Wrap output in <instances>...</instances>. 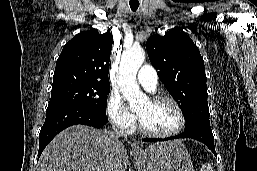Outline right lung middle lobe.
<instances>
[{
	"label": "right lung middle lobe",
	"instance_id": "right-lung-middle-lobe-1",
	"mask_svg": "<svg viewBox=\"0 0 257 171\" xmlns=\"http://www.w3.org/2000/svg\"><path fill=\"white\" fill-rule=\"evenodd\" d=\"M108 83H76L52 89L48 107L76 104L87 107L101 115H106Z\"/></svg>",
	"mask_w": 257,
	"mask_h": 171
}]
</instances>
